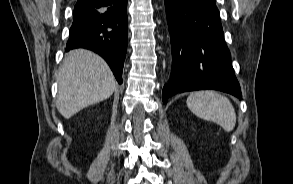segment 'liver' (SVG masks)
<instances>
[{
    "label": "liver",
    "instance_id": "liver-1",
    "mask_svg": "<svg viewBox=\"0 0 293 184\" xmlns=\"http://www.w3.org/2000/svg\"><path fill=\"white\" fill-rule=\"evenodd\" d=\"M57 81V109L65 119L109 98L117 86L107 63L85 49H75L66 55Z\"/></svg>",
    "mask_w": 293,
    "mask_h": 184
}]
</instances>
